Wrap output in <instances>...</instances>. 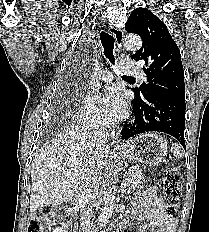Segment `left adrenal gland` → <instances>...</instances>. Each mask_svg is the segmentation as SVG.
Masks as SVG:
<instances>
[{
  "label": "left adrenal gland",
  "mask_w": 209,
  "mask_h": 232,
  "mask_svg": "<svg viewBox=\"0 0 209 232\" xmlns=\"http://www.w3.org/2000/svg\"><path fill=\"white\" fill-rule=\"evenodd\" d=\"M126 186H128V184H127V181H126V176H124V179H123L122 184H121V192L122 193L125 192ZM127 193L128 194L130 193V188H129Z\"/></svg>",
  "instance_id": "left-adrenal-gland-1"
}]
</instances>
